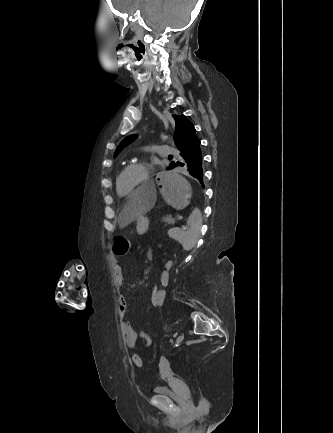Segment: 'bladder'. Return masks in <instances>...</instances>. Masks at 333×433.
Wrapping results in <instances>:
<instances>
[{
    "label": "bladder",
    "instance_id": "obj_1",
    "mask_svg": "<svg viewBox=\"0 0 333 433\" xmlns=\"http://www.w3.org/2000/svg\"><path fill=\"white\" fill-rule=\"evenodd\" d=\"M153 392L162 397H166L174 402H183L185 400V396L174 392L167 385H156L153 387Z\"/></svg>",
    "mask_w": 333,
    "mask_h": 433
}]
</instances>
